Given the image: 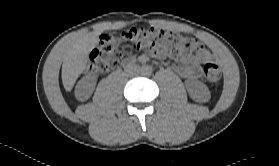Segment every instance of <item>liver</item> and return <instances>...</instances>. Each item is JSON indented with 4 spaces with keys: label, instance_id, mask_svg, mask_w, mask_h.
Segmentation results:
<instances>
[{
    "label": "liver",
    "instance_id": "obj_1",
    "mask_svg": "<svg viewBox=\"0 0 279 166\" xmlns=\"http://www.w3.org/2000/svg\"><path fill=\"white\" fill-rule=\"evenodd\" d=\"M99 33L89 32L76 38L67 49L62 65V82L66 91H71L89 61V53L94 48Z\"/></svg>",
    "mask_w": 279,
    "mask_h": 166
}]
</instances>
